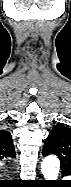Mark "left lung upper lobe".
<instances>
[{"instance_id":"obj_1","label":"left lung upper lobe","mask_w":71,"mask_h":187,"mask_svg":"<svg viewBox=\"0 0 71 187\" xmlns=\"http://www.w3.org/2000/svg\"><path fill=\"white\" fill-rule=\"evenodd\" d=\"M58 156L64 175L71 174V128L62 123L56 124L43 147V155Z\"/></svg>"}]
</instances>
